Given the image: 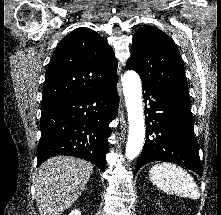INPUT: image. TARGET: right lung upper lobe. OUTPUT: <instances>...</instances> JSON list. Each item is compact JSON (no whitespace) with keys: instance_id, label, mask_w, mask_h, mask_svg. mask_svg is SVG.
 Masks as SVG:
<instances>
[{"instance_id":"1","label":"right lung upper lobe","mask_w":221,"mask_h":215,"mask_svg":"<svg viewBox=\"0 0 221 215\" xmlns=\"http://www.w3.org/2000/svg\"><path fill=\"white\" fill-rule=\"evenodd\" d=\"M112 48L89 28H78L56 47L48 65L41 109L63 104L117 79Z\"/></svg>"}]
</instances>
